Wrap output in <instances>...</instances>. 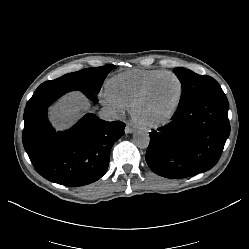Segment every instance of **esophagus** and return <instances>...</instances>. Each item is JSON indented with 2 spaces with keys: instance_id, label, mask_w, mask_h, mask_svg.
Masks as SVG:
<instances>
[{
  "instance_id": "obj_1",
  "label": "esophagus",
  "mask_w": 249,
  "mask_h": 249,
  "mask_svg": "<svg viewBox=\"0 0 249 249\" xmlns=\"http://www.w3.org/2000/svg\"><path fill=\"white\" fill-rule=\"evenodd\" d=\"M133 132H135V128L131 127L130 125H126V127H125V133L131 134Z\"/></svg>"
}]
</instances>
